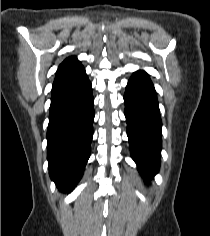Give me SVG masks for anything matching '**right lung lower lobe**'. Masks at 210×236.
<instances>
[{
	"instance_id": "right-lung-lower-lobe-1",
	"label": "right lung lower lobe",
	"mask_w": 210,
	"mask_h": 236,
	"mask_svg": "<svg viewBox=\"0 0 210 236\" xmlns=\"http://www.w3.org/2000/svg\"><path fill=\"white\" fill-rule=\"evenodd\" d=\"M94 99L81 63L57 72L47 130V159L51 179L61 191L81 179L90 156Z\"/></svg>"
}]
</instances>
